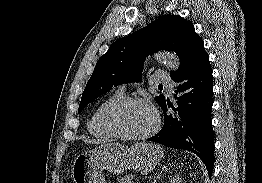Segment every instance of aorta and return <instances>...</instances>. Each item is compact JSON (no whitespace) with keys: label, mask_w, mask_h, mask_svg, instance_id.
<instances>
[{"label":"aorta","mask_w":262,"mask_h":183,"mask_svg":"<svg viewBox=\"0 0 262 183\" xmlns=\"http://www.w3.org/2000/svg\"><path fill=\"white\" fill-rule=\"evenodd\" d=\"M154 57L157 61L163 63L171 70H177L179 68V59L172 52H158L154 55Z\"/></svg>","instance_id":"obj_1"}]
</instances>
